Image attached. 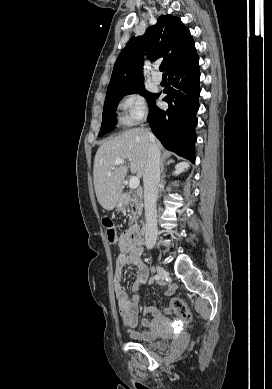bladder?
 <instances>
[{
  "label": "bladder",
  "mask_w": 272,
  "mask_h": 389,
  "mask_svg": "<svg viewBox=\"0 0 272 389\" xmlns=\"http://www.w3.org/2000/svg\"><path fill=\"white\" fill-rule=\"evenodd\" d=\"M143 345L149 348L160 349L167 345V341L164 339L147 340L143 342Z\"/></svg>",
  "instance_id": "1"
}]
</instances>
